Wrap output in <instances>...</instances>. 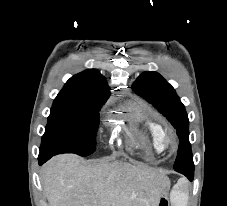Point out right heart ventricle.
I'll use <instances>...</instances> for the list:
<instances>
[{"label": "right heart ventricle", "instance_id": "1", "mask_svg": "<svg viewBox=\"0 0 227 206\" xmlns=\"http://www.w3.org/2000/svg\"><path fill=\"white\" fill-rule=\"evenodd\" d=\"M126 116L141 130L149 140L152 148L160 153V137L163 133L162 125L157 122L145 109L139 105L129 102L123 107Z\"/></svg>", "mask_w": 227, "mask_h": 206}]
</instances>
